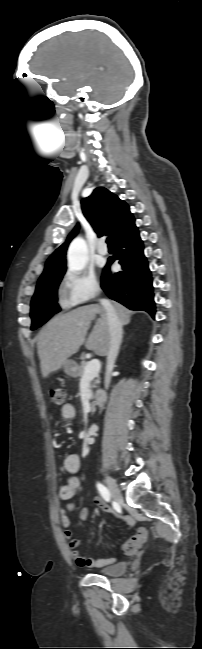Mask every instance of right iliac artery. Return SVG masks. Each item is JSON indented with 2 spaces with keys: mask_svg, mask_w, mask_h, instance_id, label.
Listing matches in <instances>:
<instances>
[{
  "mask_svg": "<svg viewBox=\"0 0 202 649\" xmlns=\"http://www.w3.org/2000/svg\"><path fill=\"white\" fill-rule=\"evenodd\" d=\"M97 488L104 500L109 502L111 497L109 490L101 483H97Z\"/></svg>",
  "mask_w": 202,
  "mask_h": 649,
  "instance_id": "right-iliac-artery-1",
  "label": "right iliac artery"
}]
</instances>
